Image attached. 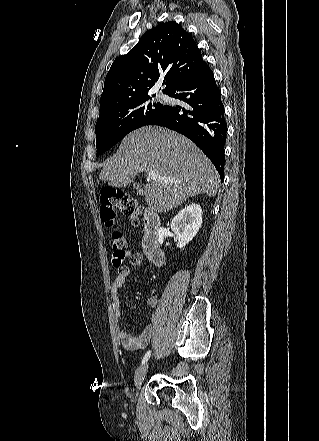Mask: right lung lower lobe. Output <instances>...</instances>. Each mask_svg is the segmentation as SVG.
Masks as SVG:
<instances>
[{
  "label": "right lung lower lobe",
  "instance_id": "1",
  "mask_svg": "<svg viewBox=\"0 0 319 441\" xmlns=\"http://www.w3.org/2000/svg\"><path fill=\"white\" fill-rule=\"evenodd\" d=\"M169 96L189 106H165L150 125L167 127L191 139L212 161L223 180L227 126L221 93L212 70L204 63L183 78Z\"/></svg>",
  "mask_w": 319,
  "mask_h": 441
}]
</instances>
